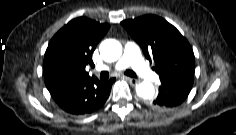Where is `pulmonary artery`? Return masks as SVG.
I'll use <instances>...</instances> for the list:
<instances>
[{
  "instance_id": "pulmonary-artery-1",
  "label": "pulmonary artery",
  "mask_w": 236,
  "mask_h": 135,
  "mask_svg": "<svg viewBox=\"0 0 236 135\" xmlns=\"http://www.w3.org/2000/svg\"><path fill=\"white\" fill-rule=\"evenodd\" d=\"M132 67L133 70L145 79L155 80L158 75L153 72L143 60L139 46L134 42H128L125 46L123 57L115 63L114 70H122L126 67Z\"/></svg>"
}]
</instances>
